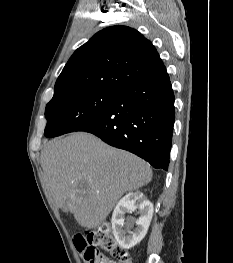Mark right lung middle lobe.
I'll list each match as a JSON object with an SVG mask.
<instances>
[{"label": "right lung middle lobe", "instance_id": "dd1d6c3e", "mask_svg": "<svg viewBox=\"0 0 233 263\" xmlns=\"http://www.w3.org/2000/svg\"><path fill=\"white\" fill-rule=\"evenodd\" d=\"M117 92L86 89L53 96L47 104V126L44 135L55 137L77 130L100 115L111 103Z\"/></svg>", "mask_w": 233, "mask_h": 263}]
</instances>
